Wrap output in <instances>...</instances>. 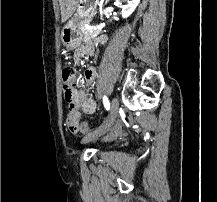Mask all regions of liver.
Instances as JSON below:
<instances>
[{
  "label": "liver",
  "mask_w": 217,
  "mask_h": 202,
  "mask_svg": "<svg viewBox=\"0 0 217 202\" xmlns=\"http://www.w3.org/2000/svg\"><path fill=\"white\" fill-rule=\"evenodd\" d=\"M59 4L61 8V22H67L74 14L79 0H59Z\"/></svg>",
  "instance_id": "1"
}]
</instances>
